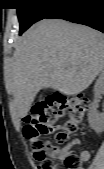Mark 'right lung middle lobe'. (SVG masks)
Wrapping results in <instances>:
<instances>
[{
    "label": "right lung middle lobe",
    "instance_id": "obj_1",
    "mask_svg": "<svg viewBox=\"0 0 104 169\" xmlns=\"http://www.w3.org/2000/svg\"><path fill=\"white\" fill-rule=\"evenodd\" d=\"M21 35L35 22L47 18L70 0H15Z\"/></svg>",
    "mask_w": 104,
    "mask_h": 169
}]
</instances>
